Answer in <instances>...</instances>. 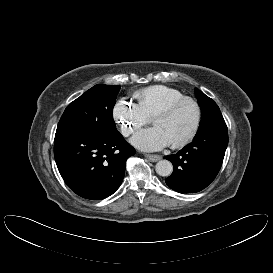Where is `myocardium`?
Here are the masks:
<instances>
[{"label":"myocardium","mask_w":273,"mask_h":273,"mask_svg":"<svg viewBox=\"0 0 273 273\" xmlns=\"http://www.w3.org/2000/svg\"><path fill=\"white\" fill-rule=\"evenodd\" d=\"M185 102H190L196 110V120H195V124L194 127L191 131V133L181 142L176 143V144H171V147L174 149H179V148H183L185 146H187L189 143H191L194 138L197 136V133L199 131L200 128V124H201V119H202V112H201V107L198 104V102L196 100H194L191 97H182L178 100H175L169 104H167L164 108H162L153 118H152V123L154 124V122L158 119H163V118H167L169 117L172 112L182 103Z\"/></svg>","instance_id":"f54148a6"}]
</instances>
